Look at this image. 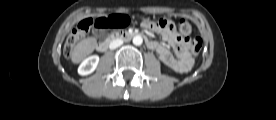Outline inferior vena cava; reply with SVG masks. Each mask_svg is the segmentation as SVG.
<instances>
[{"instance_id": "602c4592", "label": "inferior vena cava", "mask_w": 276, "mask_h": 120, "mask_svg": "<svg viewBox=\"0 0 276 120\" xmlns=\"http://www.w3.org/2000/svg\"><path fill=\"white\" fill-rule=\"evenodd\" d=\"M122 44H123V40H121V39H115V40H113V41L110 43L109 48H110L111 50H114V49L120 47Z\"/></svg>"}]
</instances>
